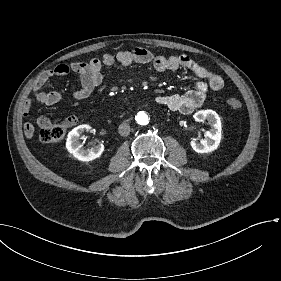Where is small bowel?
Wrapping results in <instances>:
<instances>
[{
    "label": "small bowel",
    "mask_w": 281,
    "mask_h": 281,
    "mask_svg": "<svg viewBox=\"0 0 281 281\" xmlns=\"http://www.w3.org/2000/svg\"><path fill=\"white\" fill-rule=\"evenodd\" d=\"M116 63L123 66L131 64L150 65L157 72L175 71L178 69H187L191 71L197 79L193 82V89L183 94H159L155 97L158 105L168 108L173 112L190 114L200 107L205 101L208 92L219 91L224 87L223 78L212 70L196 63L187 55L162 56L152 52L137 48L134 50H122L113 54H104L100 58H93L88 62H73L69 66L60 64L54 70L42 73L33 86L34 98L45 105H54L63 98L59 91H44L43 87L53 76H65L70 71L79 75L81 79V88L72 93L76 100H82L89 97L94 89L102 82V69L112 67ZM32 109L31 99H27L24 107V116H28ZM37 121L45 126L49 123L43 114L37 115ZM33 125L25 123L24 137L32 139L34 132Z\"/></svg>",
    "instance_id": "obj_1"
}]
</instances>
